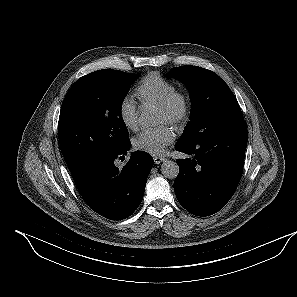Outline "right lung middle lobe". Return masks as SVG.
<instances>
[{"instance_id":"right-lung-middle-lobe-1","label":"right lung middle lobe","mask_w":297,"mask_h":297,"mask_svg":"<svg viewBox=\"0 0 297 297\" xmlns=\"http://www.w3.org/2000/svg\"><path fill=\"white\" fill-rule=\"evenodd\" d=\"M137 76L110 69L83 76L70 88L58 123L60 148L70 171L93 156L114 153L130 142L121 105Z\"/></svg>"}]
</instances>
